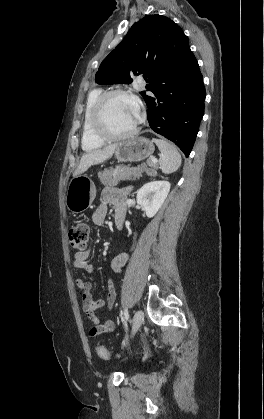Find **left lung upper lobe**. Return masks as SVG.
I'll use <instances>...</instances> for the list:
<instances>
[{
  "instance_id": "obj_1",
  "label": "left lung upper lobe",
  "mask_w": 264,
  "mask_h": 419,
  "mask_svg": "<svg viewBox=\"0 0 264 419\" xmlns=\"http://www.w3.org/2000/svg\"><path fill=\"white\" fill-rule=\"evenodd\" d=\"M182 29L161 15H147L135 23L122 42L102 61L96 73L98 84H130L143 74L146 89L168 69L169 43L176 40ZM144 99L145 92H140Z\"/></svg>"
}]
</instances>
